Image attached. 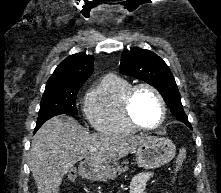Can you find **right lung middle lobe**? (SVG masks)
Segmentation results:
<instances>
[{"label":"right lung middle lobe","instance_id":"1","mask_svg":"<svg viewBox=\"0 0 221 193\" xmlns=\"http://www.w3.org/2000/svg\"><path fill=\"white\" fill-rule=\"evenodd\" d=\"M81 86L45 89L36 125H42L48 119L60 115H76V95Z\"/></svg>","mask_w":221,"mask_h":193}]
</instances>
